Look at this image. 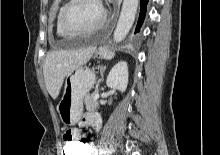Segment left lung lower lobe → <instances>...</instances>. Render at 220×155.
<instances>
[{
	"instance_id": "0a47b994",
	"label": "left lung lower lobe",
	"mask_w": 220,
	"mask_h": 155,
	"mask_svg": "<svg viewBox=\"0 0 220 155\" xmlns=\"http://www.w3.org/2000/svg\"><path fill=\"white\" fill-rule=\"evenodd\" d=\"M147 3H148V0H141V3H140L141 10H140V15H139V19H138L135 33L139 32V29H140L142 23L144 22Z\"/></svg>"
}]
</instances>
